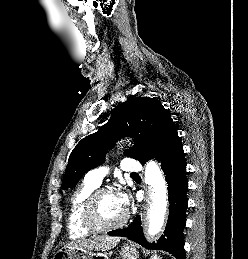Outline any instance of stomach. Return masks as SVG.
<instances>
[{"instance_id": "obj_1", "label": "stomach", "mask_w": 248, "mask_h": 259, "mask_svg": "<svg viewBox=\"0 0 248 259\" xmlns=\"http://www.w3.org/2000/svg\"><path fill=\"white\" fill-rule=\"evenodd\" d=\"M119 252L122 259H139L138 251L131 244H124ZM110 254L107 251L93 252L75 247H66L57 251L53 259H109Z\"/></svg>"}]
</instances>
